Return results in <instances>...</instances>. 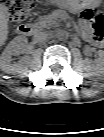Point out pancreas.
Instances as JSON below:
<instances>
[{
    "label": "pancreas",
    "instance_id": "pancreas-1",
    "mask_svg": "<svg viewBox=\"0 0 104 137\" xmlns=\"http://www.w3.org/2000/svg\"><path fill=\"white\" fill-rule=\"evenodd\" d=\"M36 25L39 26V27H43V26H46V25H47V22H46L45 19H42V20L39 21Z\"/></svg>",
    "mask_w": 104,
    "mask_h": 137
}]
</instances>
